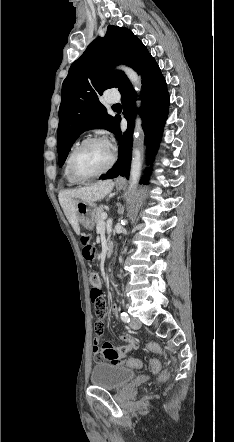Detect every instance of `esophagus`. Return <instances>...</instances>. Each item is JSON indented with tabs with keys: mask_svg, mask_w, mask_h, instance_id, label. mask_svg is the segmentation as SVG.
Returning <instances> with one entry per match:
<instances>
[{
	"mask_svg": "<svg viewBox=\"0 0 234 442\" xmlns=\"http://www.w3.org/2000/svg\"><path fill=\"white\" fill-rule=\"evenodd\" d=\"M116 181L117 182H121V181H123V178L119 176V177L116 178Z\"/></svg>",
	"mask_w": 234,
	"mask_h": 442,
	"instance_id": "1",
	"label": "esophagus"
}]
</instances>
